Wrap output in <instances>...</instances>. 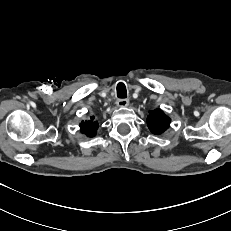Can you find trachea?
<instances>
[{"mask_svg":"<svg viewBox=\"0 0 231 231\" xmlns=\"http://www.w3.org/2000/svg\"><path fill=\"white\" fill-rule=\"evenodd\" d=\"M117 97L122 99L127 97L126 86L123 83L117 85Z\"/></svg>","mask_w":231,"mask_h":231,"instance_id":"1","label":"trachea"}]
</instances>
